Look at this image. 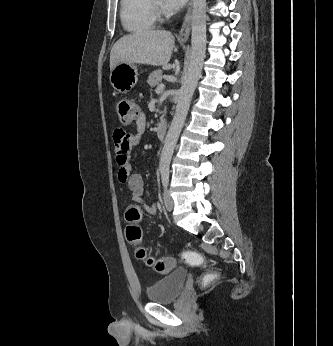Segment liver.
<instances>
[{"label": "liver", "mask_w": 333, "mask_h": 346, "mask_svg": "<svg viewBox=\"0 0 333 346\" xmlns=\"http://www.w3.org/2000/svg\"><path fill=\"white\" fill-rule=\"evenodd\" d=\"M174 43V36L168 31L144 30L123 36L111 50L110 70L119 63L165 67Z\"/></svg>", "instance_id": "liver-1"}]
</instances>
